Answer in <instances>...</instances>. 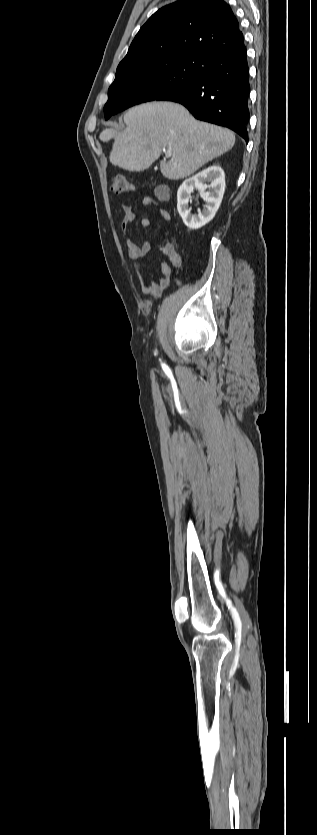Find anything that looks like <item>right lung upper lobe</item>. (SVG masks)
<instances>
[{"label": "right lung upper lobe", "mask_w": 317, "mask_h": 835, "mask_svg": "<svg viewBox=\"0 0 317 835\" xmlns=\"http://www.w3.org/2000/svg\"><path fill=\"white\" fill-rule=\"evenodd\" d=\"M239 23L223 0H179L141 27L115 76L178 62L231 42Z\"/></svg>", "instance_id": "1"}]
</instances>
